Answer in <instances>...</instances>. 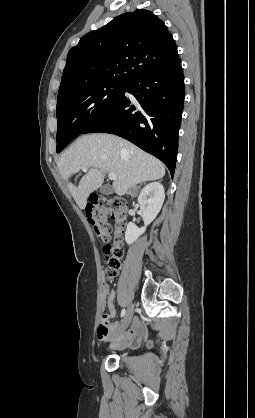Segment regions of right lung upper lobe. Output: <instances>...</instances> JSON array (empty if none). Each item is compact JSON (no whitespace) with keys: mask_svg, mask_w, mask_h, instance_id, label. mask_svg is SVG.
<instances>
[{"mask_svg":"<svg viewBox=\"0 0 255 418\" xmlns=\"http://www.w3.org/2000/svg\"><path fill=\"white\" fill-rule=\"evenodd\" d=\"M177 58L174 39L156 15L124 13L84 35L69 51L58 94L99 82L127 84Z\"/></svg>","mask_w":255,"mask_h":418,"instance_id":"cb5924a9","label":"right lung upper lobe"}]
</instances>
